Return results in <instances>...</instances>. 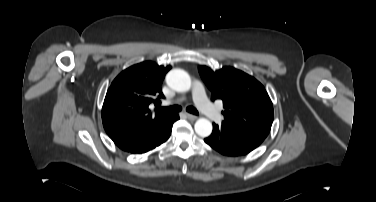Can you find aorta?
Instances as JSON below:
<instances>
[{
	"label": "aorta",
	"instance_id": "aorta-1",
	"mask_svg": "<svg viewBox=\"0 0 376 202\" xmlns=\"http://www.w3.org/2000/svg\"><path fill=\"white\" fill-rule=\"evenodd\" d=\"M169 87L177 92H187L191 88L189 74L181 69L171 70L166 76ZM195 132L200 137H208L212 133V123L206 118H200L195 123Z\"/></svg>",
	"mask_w": 376,
	"mask_h": 202
}]
</instances>
